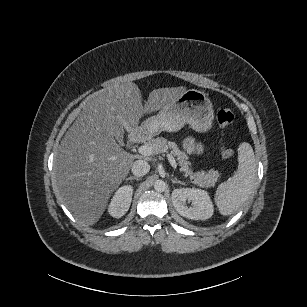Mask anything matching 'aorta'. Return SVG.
<instances>
[{
  "label": "aorta",
  "instance_id": "aorta-1",
  "mask_svg": "<svg viewBox=\"0 0 307 307\" xmlns=\"http://www.w3.org/2000/svg\"><path fill=\"white\" fill-rule=\"evenodd\" d=\"M154 189L159 192H163L166 189V183L162 179H158L154 182Z\"/></svg>",
  "mask_w": 307,
  "mask_h": 307
}]
</instances>
